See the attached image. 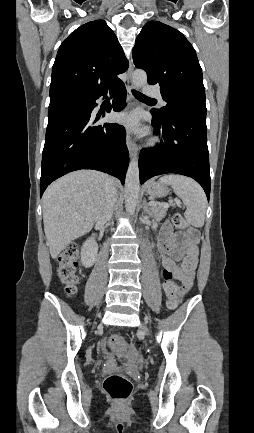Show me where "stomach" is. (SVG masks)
Instances as JSON below:
<instances>
[{"label":"stomach","mask_w":254,"mask_h":433,"mask_svg":"<svg viewBox=\"0 0 254 433\" xmlns=\"http://www.w3.org/2000/svg\"><path fill=\"white\" fill-rule=\"evenodd\" d=\"M169 190L163 183H156L154 181L147 184V193L153 197H164L168 194Z\"/></svg>","instance_id":"stomach-1"}]
</instances>
